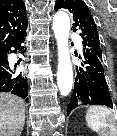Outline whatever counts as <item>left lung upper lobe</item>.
<instances>
[{"instance_id": "1", "label": "left lung upper lobe", "mask_w": 117, "mask_h": 136, "mask_svg": "<svg viewBox=\"0 0 117 136\" xmlns=\"http://www.w3.org/2000/svg\"><path fill=\"white\" fill-rule=\"evenodd\" d=\"M68 9L73 14V30H81L83 50L97 56L102 62V49L95 21L88 6L82 0H57L55 10Z\"/></svg>"}]
</instances>
